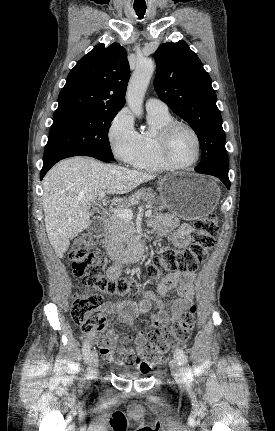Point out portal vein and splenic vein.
Wrapping results in <instances>:
<instances>
[{
  "label": "portal vein and splenic vein",
  "instance_id": "portal-vein-and-splenic-vein-1",
  "mask_svg": "<svg viewBox=\"0 0 275 431\" xmlns=\"http://www.w3.org/2000/svg\"><path fill=\"white\" fill-rule=\"evenodd\" d=\"M99 198L98 200L102 199L105 196V191H100L99 192ZM110 212H112L113 214H115L116 216L124 219V220H131L133 218V211L129 208H110ZM152 215V211L151 210H147L145 212V216L149 217Z\"/></svg>",
  "mask_w": 275,
  "mask_h": 431
}]
</instances>
